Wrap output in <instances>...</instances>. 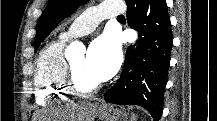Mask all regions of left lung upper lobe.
Returning a JSON list of instances; mask_svg holds the SVG:
<instances>
[{"mask_svg": "<svg viewBox=\"0 0 217 121\" xmlns=\"http://www.w3.org/2000/svg\"><path fill=\"white\" fill-rule=\"evenodd\" d=\"M87 0H50L37 23L35 51L56 25Z\"/></svg>", "mask_w": 217, "mask_h": 121, "instance_id": "obj_1", "label": "left lung upper lobe"}]
</instances>
